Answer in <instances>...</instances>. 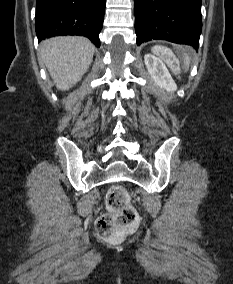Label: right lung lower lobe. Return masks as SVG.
<instances>
[{
  "label": "right lung lower lobe",
  "mask_w": 233,
  "mask_h": 284,
  "mask_svg": "<svg viewBox=\"0 0 233 284\" xmlns=\"http://www.w3.org/2000/svg\"><path fill=\"white\" fill-rule=\"evenodd\" d=\"M105 5L106 0H37L38 41L52 36L80 35L99 47Z\"/></svg>",
  "instance_id": "1"
}]
</instances>
